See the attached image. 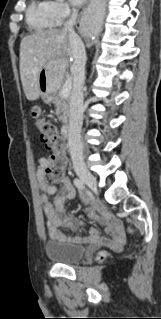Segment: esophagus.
<instances>
[{"label": "esophagus", "mask_w": 161, "mask_h": 319, "mask_svg": "<svg viewBox=\"0 0 161 319\" xmlns=\"http://www.w3.org/2000/svg\"><path fill=\"white\" fill-rule=\"evenodd\" d=\"M79 25H80V21H79V19H78L76 26L78 27Z\"/></svg>", "instance_id": "1"}]
</instances>
